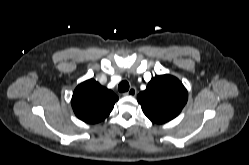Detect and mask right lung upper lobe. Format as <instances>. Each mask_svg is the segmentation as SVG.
Masks as SVG:
<instances>
[{
  "instance_id": "cb5924a9",
  "label": "right lung upper lobe",
  "mask_w": 249,
  "mask_h": 165,
  "mask_svg": "<svg viewBox=\"0 0 249 165\" xmlns=\"http://www.w3.org/2000/svg\"><path fill=\"white\" fill-rule=\"evenodd\" d=\"M118 97L94 79L79 84L72 96L75 115L90 124L104 120L112 111Z\"/></svg>"
}]
</instances>
